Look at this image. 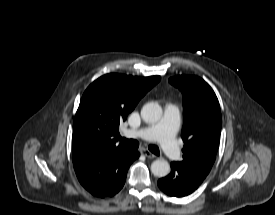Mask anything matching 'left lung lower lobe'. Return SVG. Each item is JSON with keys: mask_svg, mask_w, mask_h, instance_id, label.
I'll return each mask as SVG.
<instances>
[{"mask_svg": "<svg viewBox=\"0 0 275 215\" xmlns=\"http://www.w3.org/2000/svg\"><path fill=\"white\" fill-rule=\"evenodd\" d=\"M205 178L185 168L180 162H172L170 174L159 179L158 186L169 196L184 197L194 192Z\"/></svg>", "mask_w": 275, "mask_h": 215, "instance_id": "0a47b994", "label": "left lung lower lobe"}]
</instances>
